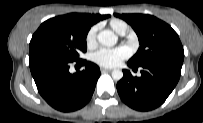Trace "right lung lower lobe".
Wrapping results in <instances>:
<instances>
[{
  "label": "right lung lower lobe",
  "instance_id": "right-lung-lower-lobe-1",
  "mask_svg": "<svg viewBox=\"0 0 203 123\" xmlns=\"http://www.w3.org/2000/svg\"><path fill=\"white\" fill-rule=\"evenodd\" d=\"M85 69L71 74L70 64ZM31 74L40 95L53 108L70 112L82 108L91 99L100 76L99 67L86 60L69 61L52 55L29 56Z\"/></svg>",
  "mask_w": 203,
  "mask_h": 123
}]
</instances>
